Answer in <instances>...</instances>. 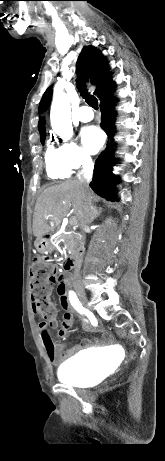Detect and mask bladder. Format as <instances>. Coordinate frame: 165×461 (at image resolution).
Listing matches in <instances>:
<instances>
[{
    "label": "bladder",
    "mask_w": 165,
    "mask_h": 461,
    "mask_svg": "<svg viewBox=\"0 0 165 461\" xmlns=\"http://www.w3.org/2000/svg\"><path fill=\"white\" fill-rule=\"evenodd\" d=\"M107 357L82 352L61 364L57 370L58 379L76 387H86L98 380L105 370Z\"/></svg>",
    "instance_id": "obj_1"
}]
</instances>
